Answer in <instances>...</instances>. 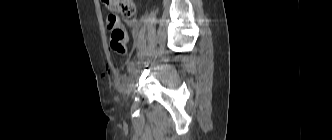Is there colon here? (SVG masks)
Segmentation results:
<instances>
[{
	"label": "colon",
	"instance_id": "5ec220e1",
	"mask_svg": "<svg viewBox=\"0 0 332 140\" xmlns=\"http://www.w3.org/2000/svg\"><path fill=\"white\" fill-rule=\"evenodd\" d=\"M102 2L111 12L105 20V26L111 32V47L115 51L123 53L126 49L127 34L119 20L118 14L125 18L132 17L136 10L135 2L134 0H102Z\"/></svg>",
	"mask_w": 332,
	"mask_h": 140
}]
</instances>
